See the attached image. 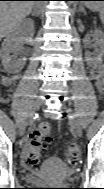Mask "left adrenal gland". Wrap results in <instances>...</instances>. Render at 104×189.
<instances>
[{"label":"left adrenal gland","instance_id":"1","mask_svg":"<svg viewBox=\"0 0 104 189\" xmlns=\"http://www.w3.org/2000/svg\"><path fill=\"white\" fill-rule=\"evenodd\" d=\"M80 11L83 12L85 14V10L83 7L80 8Z\"/></svg>","mask_w":104,"mask_h":189}]
</instances>
